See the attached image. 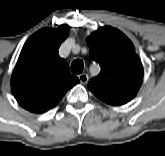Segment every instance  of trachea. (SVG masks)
Wrapping results in <instances>:
<instances>
[{
    "mask_svg": "<svg viewBox=\"0 0 165 156\" xmlns=\"http://www.w3.org/2000/svg\"><path fill=\"white\" fill-rule=\"evenodd\" d=\"M84 64L80 59H76L71 64V71L73 74H80L83 72Z\"/></svg>",
    "mask_w": 165,
    "mask_h": 156,
    "instance_id": "1",
    "label": "trachea"
}]
</instances>
